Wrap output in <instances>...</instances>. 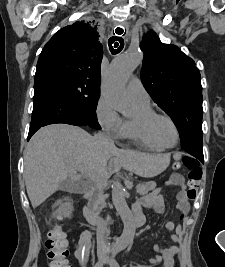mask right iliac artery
Wrapping results in <instances>:
<instances>
[{
	"label": "right iliac artery",
	"mask_w": 225,
	"mask_h": 267,
	"mask_svg": "<svg viewBox=\"0 0 225 267\" xmlns=\"http://www.w3.org/2000/svg\"><path fill=\"white\" fill-rule=\"evenodd\" d=\"M94 267H103V263L102 262H97Z\"/></svg>",
	"instance_id": "right-iliac-artery-1"
}]
</instances>
